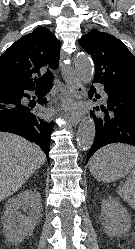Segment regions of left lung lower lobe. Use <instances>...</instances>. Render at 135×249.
Here are the masks:
<instances>
[{"label": "left lung lower lobe", "instance_id": "obj_1", "mask_svg": "<svg viewBox=\"0 0 135 249\" xmlns=\"http://www.w3.org/2000/svg\"><path fill=\"white\" fill-rule=\"evenodd\" d=\"M104 90L108 98L107 106L95 107V110L101 112L92 114L96 134L86 163L98 149L107 144L121 142L135 146V95L106 87ZM95 92V88L91 87L89 97L92 98ZM99 97L96 95L93 101Z\"/></svg>", "mask_w": 135, "mask_h": 249}]
</instances>
